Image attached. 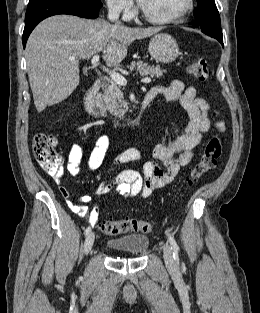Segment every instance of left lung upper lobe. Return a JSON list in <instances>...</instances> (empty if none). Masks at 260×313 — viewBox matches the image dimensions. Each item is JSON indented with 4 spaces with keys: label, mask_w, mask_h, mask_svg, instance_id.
Returning a JSON list of instances; mask_svg holds the SVG:
<instances>
[{
    "label": "left lung upper lobe",
    "mask_w": 260,
    "mask_h": 313,
    "mask_svg": "<svg viewBox=\"0 0 260 313\" xmlns=\"http://www.w3.org/2000/svg\"><path fill=\"white\" fill-rule=\"evenodd\" d=\"M198 7L194 10V17L198 23L193 27L200 26L203 33L223 37L221 20L214 0H197Z\"/></svg>",
    "instance_id": "left-lung-upper-lobe-1"
}]
</instances>
